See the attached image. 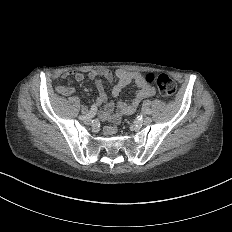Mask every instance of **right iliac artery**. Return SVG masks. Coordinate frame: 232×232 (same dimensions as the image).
I'll use <instances>...</instances> for the list:
<instances>
[{
  "instance_id": "82829eb1",
  "label": "right iliac artery",
  "mask_w": 232,
  "mask_h": 232,
  "mask_svg": "<svg viewBox=\"0 0 232 232\" xmlns=\"http://www.w3.org/2000/svg\"><path fill=\"white\" fill-rule=\"evenodd\" d=\"M94 115H95L94 110H91L87 115H80L78 117V119L79 120H86V119L92 118Z\"/></svg>"
}]
</instances>
